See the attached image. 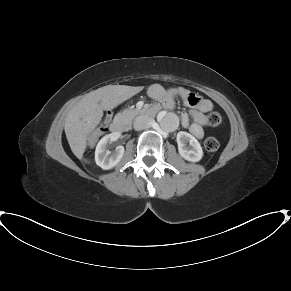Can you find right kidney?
I'll return each instance as SVG.
<instances>
[{
    "label": "right kidney",
    "mask_w": 291,
    "mask_h": 291,
    "mask_svg": "<svg viewBox=\"0 0 291 291\" xmlns=\"http://www.w3.org/2000/svg\"><path fill=\"white\" fill-rule=\"evenodd\" d=\"M121 136L120 133L105 135L97 144L95 150V162L103 170L112 169L118 164L124 154V147L117 146L113 152L107 149L108 143L116 141Z\"/></svg>",
    "instance_id": "1"
}]
</instances>
